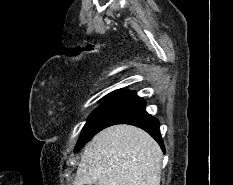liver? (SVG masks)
<instances>
[{
  "label": "liver",
  "instance_id": "6515ba94",
  "mask_svg": "<svg viewBox=\"0 0 233 185\" xmlns=\"http://www.w3.org/2000/svg\"><path fill=\"white\" fill-rule=\"evenodd\" d=\"M163 154L144 130L108 127L85 146L74 185H160Z\"/></svg>",
  "mask_w": 233,
  "mask_h": 185
}]
</instances>
